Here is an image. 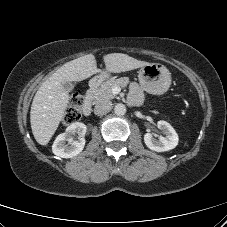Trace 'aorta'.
<instances>
[{
    "label": "aorta",
    "instance_id": "aorta-1",
    "mask_svg": "<svg viewBox=\"0 0 227 227\" xmlns=\"http://www.w3.org/2000/svg\"><path fill=\"white\" fill-rule=\"evenodd\" d=\"M114 112L118 116L125 115V113H126V107H125V105L124 104H121V103L117 104L115 106V108H114Z\"/></svg>",
    "mask_w": 227,
    "mask_h": 227
}]
</instances>
